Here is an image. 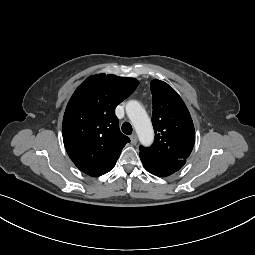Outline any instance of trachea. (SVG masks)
I'll list each match as a JSON object with an SVG mask.
<instances>
[{
    "label": "trachea",
    "mask_w": 255,
    "mask_h": 255,
    "mask_svg": "<svg viewBox=\"0 0 255 255\" xmlns=\"http://www.w3.org/2000/svg\"><path fill=\"white\" fill-rule=\"evenodd\" d=\"M122 131L126 135H130L132 133V126H131V124L129 122H124L122 124Z\"/></svg>",
    "instance_id": "obj_1"
}]
</instances>
